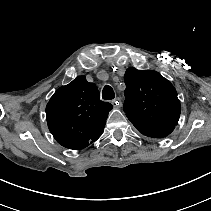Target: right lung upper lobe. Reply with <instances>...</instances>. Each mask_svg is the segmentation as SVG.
<instances>
[{
    "label": "right lung upper lobe",
    "mask_w": 211,
    "mask_h": 211,
    "mask_svg": "<svg viewBox=\"0 0 211 211\" xmlns=\"http://www.w3.org/2000/svg\"><path fill=\"white\" fill-rule=\"evenodd\" d=\"M112 108L110 103L100 100L94 83L78 76L58 88L49 100L47 124L59 144L73 150L83 149L101 136Z\"/></svg>",
    "instance_id": "cb5924a9"
}]
</instances>
